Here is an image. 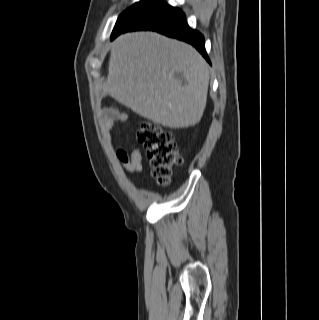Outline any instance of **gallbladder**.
Wrapping results in <instances>:
<instances>
[{
    "instance_id": "1",
    "label": "gallbladder",
    "mask_w": 319,
    "mask_h": 320,
    "mask_svg": "<svg viewBox=\"0 0 319 320\" xmlns=\"http://www.w3.org/2000/svg\"><path fill=\"white\" fill-rule=\"evenodd\" d=\"M103 96H106V94H105V93H103Z\"/></svg>"
}]
</instances>
